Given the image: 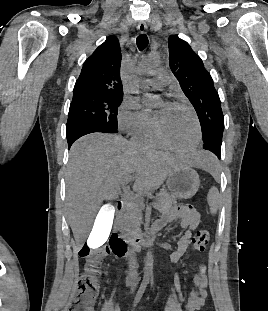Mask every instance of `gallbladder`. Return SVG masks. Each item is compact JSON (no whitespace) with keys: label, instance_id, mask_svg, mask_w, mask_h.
Listing matches in <instances>:
<instances>
[{"label":"gallbladder","instance_id":"1","mask_svg":"<svg viewBox=\"0 0 268 311\" xmlns=\"http://www.w3.org/2000/svg\"><path fill=\"white\" fill-rule=\"evenodd\" d=\"M116 202H104L101 209H98L94 227L88 233V245L90 249H99L105 245V239H108L112 233V221L115 218Z\"/></svg>","mask_w":268,"mask_h":311}]
</instances>
